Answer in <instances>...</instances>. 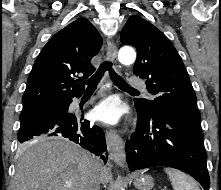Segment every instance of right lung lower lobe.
I'll return each mask as SVG.
<instances>
[{
	"instance_id": "98d812e1",
	"label": "right lung lower lobe",
	"mask_w": 221,
	"mask_h": 190,
	"mask_svg": "<svg viewBox=\"0 0 221 190\" xmlns=\"http://www.w3.org/2000/svg\"><path fill=\"white\" fill-rule=\"evenodd\" d=\"M71 102L72 98L48 114L21 125L18 131V141L23 143L41 134L62 136L100 156L106 163L108 153L103 130L84 120V114L70 113L68 109Z\"/></svg>"
}]
</instances>
